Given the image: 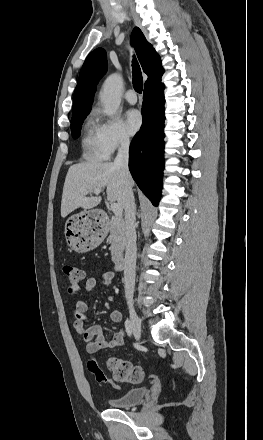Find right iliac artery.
<instances>
[{
    "label": "right iliac artery",
    "mask_w": 263,
    "mask_h": 440,
    "mask_svg": "<svg viewBox=\"0 0 263 440\" xmlns=\"http://www.w3.org/2000/svg\"><path fill=\"white\" fill-rule=\"evenodd\" d=\"M125 328H126L127 334L130 336L132 333V324L129 319H126V321H125Z\"/></svg>",
    "instance_id": "obj_1"
}]
</instances>
